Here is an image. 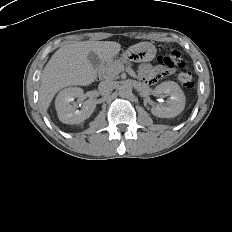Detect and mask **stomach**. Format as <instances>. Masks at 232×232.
Wrapping results in <instances>:
<instances>
[{
  "instance_id": "1",
  "label": "stomach",
  "mask_w": 232,
  "mask_h": 232,
  "mask_svg": "<svg viewBox=\"0 0 232 232\" xmlns=\"http://www.w3.org/2000/svg\"><path fill=\"white\" fill-rule=\"evenodd\" d=\"M156 51V47L152 43L146 42L133 51L127 50L123 57L135 62H148L154 59Z\"/></svg>"
}]
</instances>
